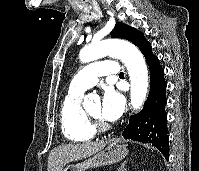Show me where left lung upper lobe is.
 Instances as JSON below:
<instances>
[{
	"label": "left lung upper lobe",
	"instance_id": "5c2ea615",
	"mask_svg": "<svg viewBox=\"0 0 199 171\" xmlns=\"http://www.w3.org/2000/svg\"><path fill=\"white\" fill-rule=\"evenodd\" d=\"M110 34L112 38H122L131 41L139 49L148 43L143 33L123 23H117Z\"/></svg>",
	"mask_w": 199,
	"mask_h": 171
}]
</instances>
